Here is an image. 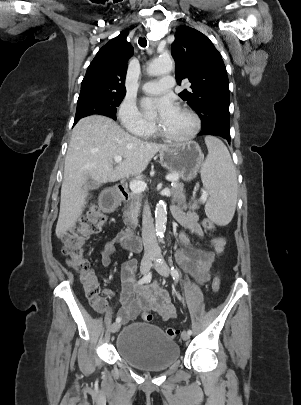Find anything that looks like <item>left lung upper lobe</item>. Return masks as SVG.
I'll use <instances>...</instances> for the list:
<instances>
[{
	"mask_svg": "<svg viewBox=\"0 0 301 405\" xmlns=\"http://www.w3.org/2000/svg\"><path fill=\"white\" fill-rule=\"evenodd\" d=\"M171 52L178 84L183 79L191 83L179 96L199 115L202 130L230 131L227 71L213 43L196 29L182 26Z\"/></svg>",
	"mask_w": 301,
	"mask_h": 405,
	"instance_id": "obj_1",
	"label": "left lung upper lobe"
}]
</instances>
